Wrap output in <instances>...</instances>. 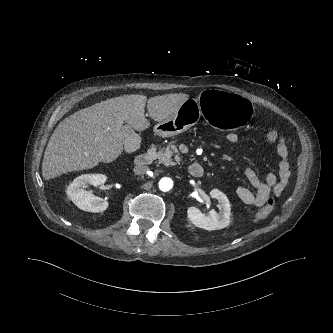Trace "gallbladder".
<instances>
[{
  "mask_svg": "<svg viewBox=\"0 0 333 333\" xmlns=\"http://www.w3.org/2000/svg\"><path fill=\"white\" fill-rule=\"evenodd\" d=\"M123 133L125 137V144L128 149H138L140 147L141 139L130 125L123 126Z\"/></svg>",
  "mask_w": 333,
  "mask_h": 333,
  "instance_id": "gallbladder-1",
  "label": "gallbladder"
}]
</instances>
